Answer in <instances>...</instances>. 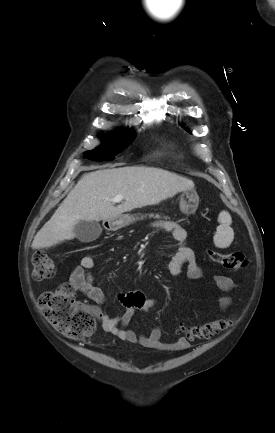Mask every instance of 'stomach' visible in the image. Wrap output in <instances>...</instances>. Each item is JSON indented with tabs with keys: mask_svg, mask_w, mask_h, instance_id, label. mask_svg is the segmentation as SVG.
I'll return each mask as SVG.
<instances>
[{
	"mask_svg": "<svg viewBox=\"0 0 275 433\" xmlns=\"http://www.w3.org/2000/svg\"><path fill=\"white\" fill-rule=\"evenodd\" d=\"M199 205V196L197 192L192 190L183 191L180 197V211L183 214L191 215L194 214ZM136 218L129 214H123L116 218L108 219L106 226L109 230H117L128 226L129 224L135 222Z\"/></svg>",
	"mask_w": 275,
	"mask_h": 433,
	"instance_id": "0dacf381",
	"label": "stomach"
}]
</instances>
